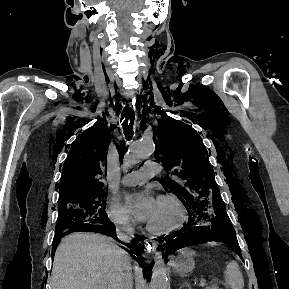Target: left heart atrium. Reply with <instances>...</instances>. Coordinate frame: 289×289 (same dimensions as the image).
<instances>
[{
	"mask_svg": "<svg viewBox=\"0 0 289 289\" xmlns=\"http://www.w3.org/2000/svg\"><path fill=\"white\" fill-rule=\"evenodd\" d=\"M125 201L134 217L142 222L150 221L158 203V200L149 191L129 194Z\"/></svg>",
	"mask_w": 289,
	"mask_h": 289,
	"instance_id": "left-heart-atrium-1",
	"label": "left heart atrium"
}]
</instances>
